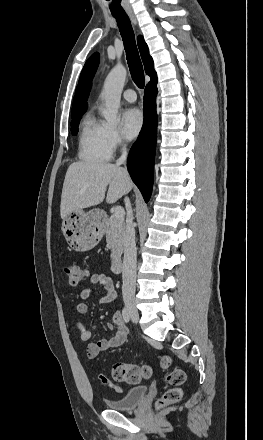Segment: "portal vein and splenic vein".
<instances>
[{
    "mask_svg": "<svg viewBox=\"0 0 263 440\" xmlns=\"http://www.w3.org/2000/svg\"><path fill=\"white\" fill-rule=\"evenodd\" d=\"M114 215L116 218H124L125 211L122 207H116L114 210Z\"/></svg>",
    "mask_w": 263,
    "mask_h": 440,
    "instance_id": "obj_1",
    "label": "portal vein and splenic vein"
}]
</instances>
